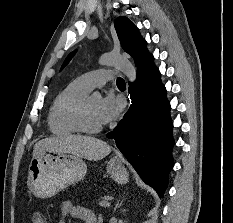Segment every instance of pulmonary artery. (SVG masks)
Here are the masks:
<instances>
[{
  "instance_id": "obj_1",
  "label": "pulmonary artery",
  "mask_w": 233,
  "mask_h": 223,
  "mask_svg": "<svg viewBox=\"0 0 233 223\" xmlns=\"http://www.w3.org/2000/svg\"><path fill=\"white\" fill-rule=\"evenodd\" d=\"M112 75L119 78L117 70H93L81 75L78 80L88 91H91L96 87L105 85L108 80L112 79Z\"/></svg>"
}]
</instances>
